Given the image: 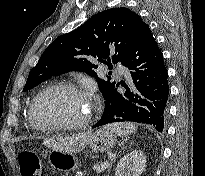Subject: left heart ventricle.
I'll return each mask as SVG.
<instances>
[{"mask_svg":"<svg viewBox=\"0 0 205 176\" xmlns=\"http://www.w3.org/2000/svg\"><path fill=\"white\" fill-rule=\"evenodd\" d=\"M88 110L89 103L81 95L55 90L40 100L36 115L42 124H74L83 120Z\"/></svg>","mask_w":205,"mask_h":176,"instance_id":"b2bd125f","label":"left heart ventricle"}]
</instances>
